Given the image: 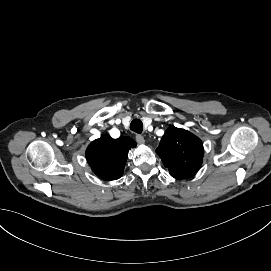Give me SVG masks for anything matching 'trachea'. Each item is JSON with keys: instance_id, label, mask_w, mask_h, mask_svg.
I'll return each mask as SVG.
<instances>
[{"instance_id": "obj_1", "label": "trachea", "mask_w": 271, "mask_h": 271, "mask_svg": "<svg viewBox=\"0 0 271 271\" xmlns=\"http://www.w3.org/2000/svg\"><path fill=\"white\" fill-rule=\"evenodd\" d=\"M130 129L140 134L143 131V122L140 119H134L130 124Z\"/></svg>"}]
</instances>
